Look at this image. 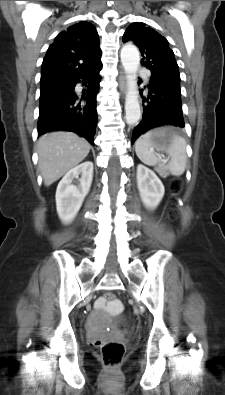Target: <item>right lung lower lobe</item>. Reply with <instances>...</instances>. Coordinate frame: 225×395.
<instances>
[{
	"instance_id": "1",
	"label": "right lung lower lobe",
	"mask_w": 225,
	"mask_h": 395,
	"mask_svg": "<svg viewBox=\"0 0 225 395\" xmlns=\"http://www.w3.org/2000/svg\"><path fill=\"white\" fill-rule=\"evenodd\" d=\"M101 69L102 63L99 61L85 72L64 77L41 88L38 136L51 131H71L94 145L97 125L96 95L101 81ZM81 79L88 89L78 95L74 89ZM82 100L86 101L85 105L81 103Z\"/></svg>"
}]
</instances>
